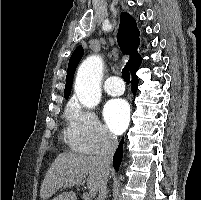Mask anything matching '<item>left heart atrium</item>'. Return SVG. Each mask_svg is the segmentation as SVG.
Here are the masks:
<instances>
[{"instance_id": "obj_1", "label": "left heart atrium", "mask_w": 201, "mask_h": 200, "mask_svg": "<svg viewBox=\"0 0 201 200\" xmlns=\"http://www.w3.org/2000/svg\"><path fill=\"white\" fill-rule=\"evenodd\" d=\"M129 115V105L124 99L110 100L104 108L105 122L115 134H120L126 129Z\"/></svg>"}]
</instances>
